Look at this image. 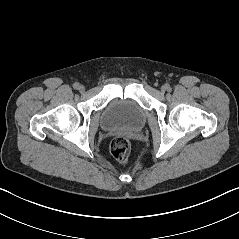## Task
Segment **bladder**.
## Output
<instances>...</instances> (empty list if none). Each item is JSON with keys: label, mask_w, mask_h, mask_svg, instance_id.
Returning a JSON list of instances; mask_svg holds the SVG:
<instances>
[{"label": "bladder", "mask_w": 239, "mask_h": 239, "mask_svg": "<svg viewBox=\"0 0 239 239\" xmlns=\"http://www.w3.org/2000/svg\"><path fill=\"white\" fill-rule=\"evenodd\" d=\"M146 123L144 109L129 98H115L106 106L101 116V126L105 129L141 130Z\"/></svg>", "instance_id": "bladder-1"}]
</instances>
